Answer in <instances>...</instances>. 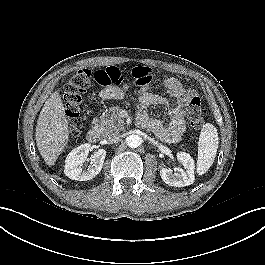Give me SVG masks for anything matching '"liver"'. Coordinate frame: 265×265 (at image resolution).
<instances>
[{
	"mask_svg": "<svg viewBox=\"0 0 265 265\" xmlns=\"http://www.w3.org/2000/svg\"><path fill=\"white\" fill-rule=\"evenodd\" d=\"M69 122L56 91L46 100L37 120V148L48 166H53L69 141Z\"/></svg>",
	"mask_w": 265,
	"mask_h": 265,
	"instance_id": "liver-1",
	"label": "liver"
}]
</instances>
